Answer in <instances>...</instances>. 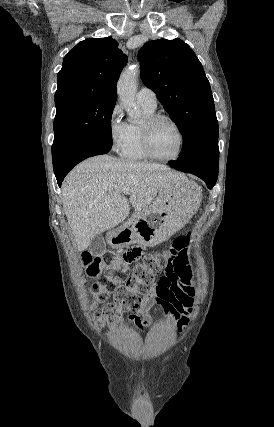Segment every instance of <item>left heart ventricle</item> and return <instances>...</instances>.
<instances>
[{
    "label": "left heart ventricle",
    "instance_id": "1",
    "mask_svg": "<svg viewBox=\"0 0 274 427\" xmlns=\"http://www.w3.org/2000/svg\"><path fill=\"white\" fill-rule=\"evenodd\" d=\"M151 146L156 154L170 158L177 154L179 149V136L175 128L165 122H158L152 129Z\"/></svg>",
    "mask_w": 274,
    "mask_h": 427
}]
</instances>
